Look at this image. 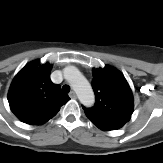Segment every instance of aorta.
I'll list each match as a JSON object with an SVG mask.
<instances>
[{
	"instance_id": "aorta-1",
	"label": "aorta",
	"mask_w": 163,
	"mask_h": 163,
	"mask_svg": "<svg viewBox=\"0 0 163 163\" xmlns=\"http://www.w3.org/2000/svg\"><path fill=\"white\" fill-rule=\"evenodd\" d=\"M64 77L71 84L78 99L84 106L90 107L94 104L95 96L92 87L76 67H66L64 69Z\"/></svg>"
}]
</instances>
